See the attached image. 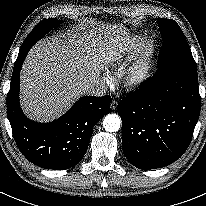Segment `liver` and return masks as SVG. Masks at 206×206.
Listing matches in <instances>:
<instances>
[{"label": "liver", "mask_w": 206, "mask_h": 206, "mask_svg": "<svg viewBox=\"0 0 206 206\" xmlns=\"http://www.w3.org/2000/svg\"><path fill=\"white\" fill-rule=\"evenodd\" d=\"M127 50L125 38L114 28L73 29L65 35L38 41L20 73L21 106L37 121L59 117L99 80L107 63Z\"/></svg>", "instance_id": "6515ba94"}]
</instances>
